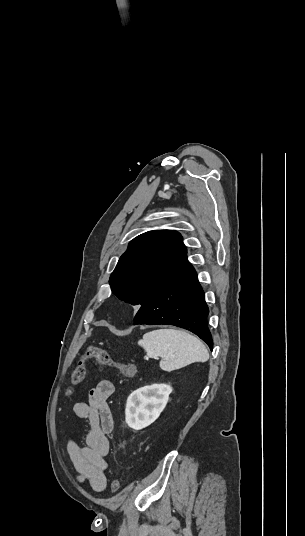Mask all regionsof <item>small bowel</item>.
Wrapping results in <instances>:
<instances>
[{
	"instance_id": "obj_1",
	"label": "small bowel",
	"mask_w": 305,
	"mask_h": 536,
	"mask_svg": "<svg viewBox=\"0 0 305 536\" xmlns=\"http://www.w3.org/2000/svg\"><path fill=\"white\" fill-rule=\"evenodd\" d=\"M113 393V383L101 380L90 390L87 402L75 403L76 416L86 419L90 429L85 446H80L73 438H69L67 442V451L78 478L87 481L97 492H102L107 485L105 457L109 453L108 434L113 426L108 399Z\"/></svg>"
}]
</instances>
